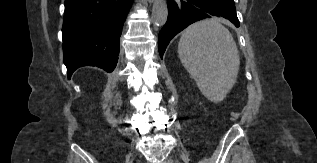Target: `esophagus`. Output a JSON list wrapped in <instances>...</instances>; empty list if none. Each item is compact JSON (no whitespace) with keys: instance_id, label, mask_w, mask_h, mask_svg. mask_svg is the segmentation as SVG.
<instances>
[{"instance_id":"1","label":"esophagus","mask_w":317,"mask_h":163,"mask_svg":"<svg viewBox=\"0 0 317 163\" xmlns=\"http://www.w3.org/2000/svg\"><path fill=\"white\" fill-rule=\"evenodd\" d=\"M146 1H148L149 3H152V2H153V0H146Z\"/></svg>"}]
</instances>
